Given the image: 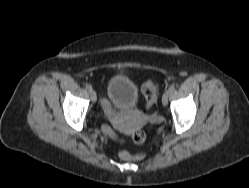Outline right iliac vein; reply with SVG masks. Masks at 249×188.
I'll list each match as a JSON object with an SVG mask.
<instances>
[{"instance_id": "63e3f726", "label": "right iliac vein", "mask_w": 249, "mask_h": 188, "mask_svg": "<svg viewBox=\"0 0 249 188\" xmlns=\"http://www.w3.org/2000/svg\"><path fill=\"white\" fill-rule=\"evenodd\" d=\"M89 92H90L91 101H92L93 103H95L96 100H97L96 92H95L93 89H92L91 91H89Z\"/></svg>"}]
</instances>
